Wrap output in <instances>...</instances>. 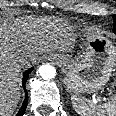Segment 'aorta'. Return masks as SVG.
<instances>
[{"label": "aorta", "instance_id": "aorta-1", "mask_svg": "<svg viewBox=\"0 0 116 116\" xmlns=\"http://www.w3.org/2000/svg\"><path fill=\"white\" fill-rule=\"evenodd\" d=\"M39 74L42 79L51 80L56 76V69L50 64H45L39 68Z\"/></svg>", "mask_w": 116, "mask_h": 116}]
</instances>
